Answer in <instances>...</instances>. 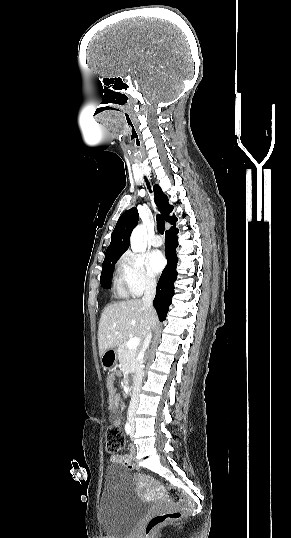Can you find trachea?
<instances>
[{"instance_id": "trachea-1", "label": "trachea", "mask_w": 291, "mask_h": 538, "mask_svg": "<svg viewBox=\"0 0 291 538\" xmlns=\"http://www.w3.org/2000/svg\"><path fill=\"white\" fill-rule=\"evenodd\" d=\"M145 181H146L148 189H150V184H149L148 180L146 179V177H145ZM156 220H157V229H158L159 233L164 234L165 223H164L163 218L160 215H157Z\"/></svg>"}]
</instances>
